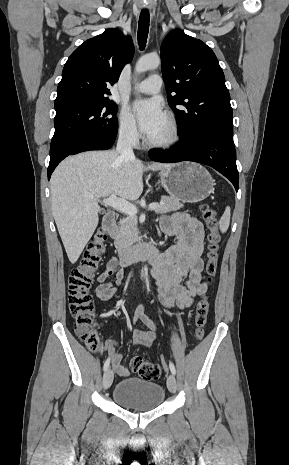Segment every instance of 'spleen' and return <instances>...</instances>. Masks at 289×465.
<instances>
[{"mask_svg": "<svg viewBox=\"0 0 289 465\" xmlns=\"http://www.w3.org/2000/svg\"><path fill=\"white\" fill-rule=\"evenodd\" d=\"M230 216H231V209L229 206H227L219 221V228L222 233H225L229 228Z\"/></svg>", "mask_w": 289, "mask_h": 465, "instance_id": "3e777b00", "label": "spleen"}]
</instances>
